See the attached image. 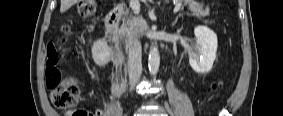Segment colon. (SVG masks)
Listing matches in <instances>:
<instances>
[{
    "label": "colon",
    "mask_w": 283,
    "mask_h": 116,
    "mask_svg": "<svg viewBox=\"0 0 283 116\" xmlns=\"http://www.w3.org/2000/svg\"><path fill=\"white\" fill-rule=\"evenodd\" d=\"M97 10L96 0H81L78 2L76 14L78 17L87 18L92 16ZM62 39L61 52L68 50L65 40L69 34V27L63 24L59 27ZM58 54V52L56 51ZM46 86L51 90L50 98L53 105L59 109H66L76 104L80 97V91L74 78H62L60 74L51 77L46 75ZM219 88L218 84H213V89ZM73 116H90L91 112L84 109L73 111Z\"/></svg>",
    "instance_id": "colon-1"
}]
</instances>
